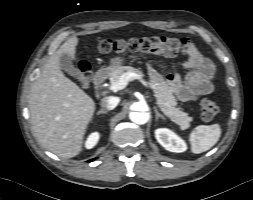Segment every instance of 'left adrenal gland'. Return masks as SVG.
<instances>
[{
    "mask_svg": "<svg viewBox=\"0 0 253 200\" xmlns=\"http://www.w3.org/2000/svg\"><path fill=\"white\" fill-rule=\"evenodd\" d=\"M154 111H155L156 120H158V118L164 119V117L158 112L157 107H154Z\"/></svg>",
    "mask_w": 253,
    "mask_h": 200,
    "instance_id": "a2214340",
    "label": "left adrenal gland"
}]
</instances>
